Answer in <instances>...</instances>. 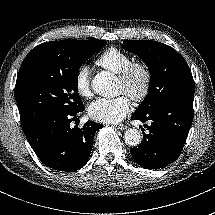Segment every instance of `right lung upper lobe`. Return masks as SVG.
Returning <instances> with one entry per match:
<instances>
[{"instance_id": "obj_1", "label": "right lung upper lobe", "mask_w": 215, "mask_h": 215, "mask_svg": "<svg viewBox=\"0 0 215 215\" xmlns=\"http://www.w3.org/2000/svg\"><path fill=\"white\" fill-rule=\"evenodd\" d=\"M58 42H60V41L45 42V43L38 45L37 47H35L33 50H31L29 52V54L26 56V58L24 59L21 66H25V65L35 61L38 57H40V55L42 53L45 52V50H47L50 46H52L53 44H56Z\"/></svg>"}]
</instances>
